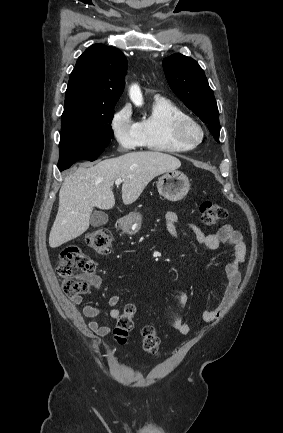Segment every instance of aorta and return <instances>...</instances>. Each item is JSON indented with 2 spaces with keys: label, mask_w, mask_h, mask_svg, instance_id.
Returning <instances> with one entry per match:
<instances>
[{
  "label": "aorta",
  "mask_w": 283,
  "mask_h": 433,
  "mask_svg": "<svg viewBox=\"0 0 283 433\" xmlns=\"http://www.w3.org/2000/svg\"><path fill=\"white\" fill-rule=\"evenodd\" d=\"M129 96L131 101L136 106H142L143 105V97L140 90V87L137 84H133L129 88Z\"/></svg>",
  "instance_id": "aorta-1"
}]
</instances>
